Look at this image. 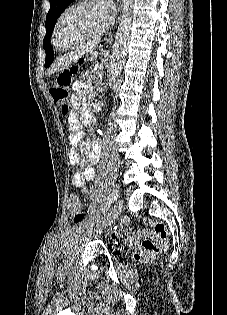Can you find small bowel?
<instances>
[{"label": "small bowel", "mask_w": 227, "mask_h": 315, "mask_svg": "<svg viewBox=\"0 0 227 315\" xmlns=\"http://www.w3.org/2000/svg\"><path fill=\"white\" fill-rule=\"evenodd\" d=\"M73 91L75 99L86 101L92 92V86L82 81H76L73 84ZM71 134L69 136V161L70 164L79 167L81 171L73 173L71 177V184L74 187L80 188L84 195L91 194V188L87 185V181L94 180L96 171L94 165L99 158L98 149L91 147L89 141H84L81 144L80 150L77 146L82 138L81 127L75 117L70 119ZM81 153L85 154V158H81Z\"/></svg>", "instance_id": "small-bowel-1"}]
</instances>
